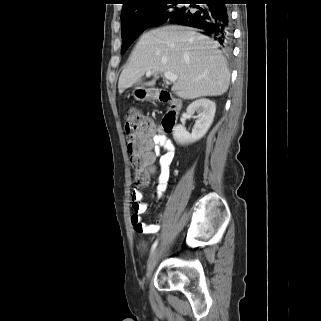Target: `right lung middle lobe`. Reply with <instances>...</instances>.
Masks as SVG:
<instances>
[{"label":"right lung middle lobe","instance_id":"obj_1","mask_svg":"<svg viewBox=\"0 0 321 321\" xmlns=\"http://www.w3.org/2000/svg\"><path fill=\"white\" fill-rule=\"evenodd\" d=\"M184 0H161L142 8L136 13L121 18V36L123 54L134 40L141 34L146 25L166 23L170 16L179 10L177 7Z\"/></svg>","mask_w":321,"mask_h":321}]
</instances>
